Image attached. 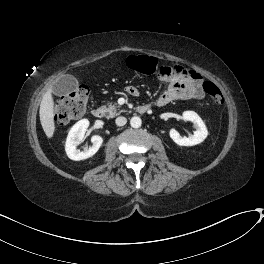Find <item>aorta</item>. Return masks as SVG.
Masks as SVG:
<instances>
[{
  "label": "aorta",
  "instance_id": "obj_1",
  "mask_svg": "<svg viewBox=\"0 0 264 264\" xmlns=\"http://www.w3.org/2000/svg\"><path fill=\"white\" fill-rule=\"evenodd\" d=\"M141 124H142V120L138 116H134L130 120V125L133 128H139L141 126Z\"/></svg>",
  "mask_w": 264,
  "mask_h": 264
}]
</instances>
